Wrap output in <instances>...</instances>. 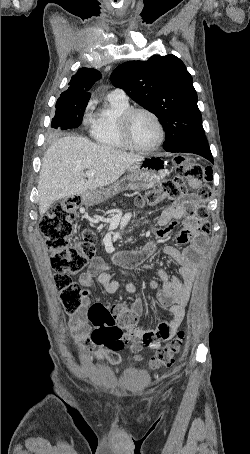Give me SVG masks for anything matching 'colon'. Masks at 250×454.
Wrapping results in <instances>:
<instances>
[{
    "label": "colon",
    "instance_id": "colon-1",
    "mask_svg": "<svg viewBox=\"0 0 250 454\" xmlns=\"http://www.w3.org/2000/svg\"><path fill=\"white\" fill-rule=\"evenodd\" d=\"M174 162L179 174L139 196L137 202L139 205H153L164 200L179 199L185 193L189 181L202 180L204 185L199 190L200 204L195 210V216L199 220L200 231L207 234L210 223L206 202L212 195L209 185L213 176L212 169L180 155L174 158ZM80 204L81 197L78 195L61 199L52 205L40 222V230L50 252V264L60 302L68 313L77 312L82 305L80 287L72 280V276L82 271L95 253L96 236L93 231L87 229L80 238L74 236L73 225ZM87 318L94 327L91 333L94 344L112 352H119L126 346L134 352L139 351L141 338L132 316L124 314L118 317L101 303H95L89 307ZM183 337L184 333L180 331L175 340L158 349L150 360V366L155 370L170 367L180 351Z\"/></svg>",
    "mask_w": 250,
    "mask_h": 454
}]
</instances>
